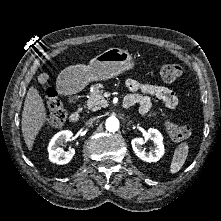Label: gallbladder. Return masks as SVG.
Segmentation results:
<instances>
[{
  "label": "gallbladder",
  "mask_w": 221,
  "mask_h": 221,
  "mask_svg": "<svg viewBox=\"0 0 221 221\" xmlns=\"http://www.w3.org/2000/svg\"><path fill=\"white\" fill-rule=\"evenodd\" d=\"M39 79L42 80V81L45 80V79H46V75H45V74H41V75L39 76Z\"/></svg>",
  "instance_id": "gallbladder-1"
}]
</instances>
